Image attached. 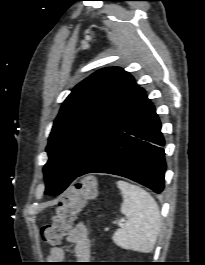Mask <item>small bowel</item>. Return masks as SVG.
I'll list each match as a JSON object with an SVG mask.
<instances>
[{
	"label": "small bowel",
	"instance_id": "c3829d8e",
	"mask_svg": "<svg viewBox=\"0 0 205 265\" xmlns=\"http://www.w3.org/2000/svg\"><path fill=\"white\" fill-rule=\"evenodd\" d=\"M67 247H52L48 253V260L59 262L65 259L66 251L74 254L79 263H86L91 258V241L84 223L76 224L67 234Z\"/></svg>",
	"mask_w": 205,
	"mask_h": 265
}]
</instances>
